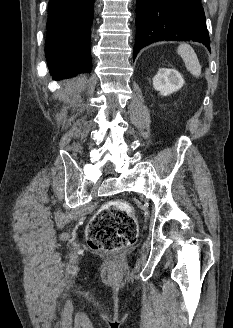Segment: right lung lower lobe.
<instances>
[{"mask_svg": "<svg viewBox=\"0 0 233 328\" xmlns=\"http://www.w3.org/2000/svg\"><path fill=\"white\" fill-rule=\"evenodd\" d=\"M94 0H50L45 55L53 79L91 70L90 27Z\"/></svg>", "mask_w": 233, "mask_h": 328, "instance_id": "right-lung-lower-lobe-1", "label": "right lung lower lobe"}]
</instances>
